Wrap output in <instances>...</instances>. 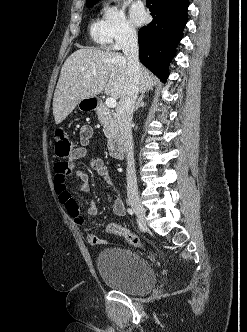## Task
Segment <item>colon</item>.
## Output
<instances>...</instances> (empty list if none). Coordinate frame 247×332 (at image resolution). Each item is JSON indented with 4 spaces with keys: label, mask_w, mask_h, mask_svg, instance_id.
Returning a JSON list of instances; mask_svg holds the SVG:
<instances>
[{
    "label": "colon",
    "mask_w": 247,
    "mask_h": 332,
    "mask_svg": "<svg viewBox=\"0 0 247 332\" xmlns=\"http://www.w3.org/2000/svg\"><path fill=\"white\" fill-rule=\"evenodd\" d=\"M55 154L59 158H69L76 150L75 141L65 132L58 130L54 137ZM106 231L123 237L129 244L137 247H145V244L127 228L115 223H110L106 227Z\"/></svg>",
    "instance_id": "colon-1"
}]
</instances>
